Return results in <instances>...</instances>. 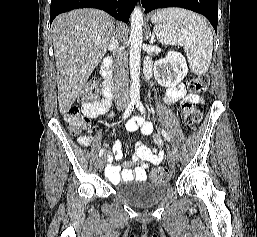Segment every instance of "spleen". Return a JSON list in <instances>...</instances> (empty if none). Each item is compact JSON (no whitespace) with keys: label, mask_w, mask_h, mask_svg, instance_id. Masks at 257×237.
<instances>
[{"label":"spleen","mask_w":257,"mask_h":237,"mask_svg":"<svg viewBox=\"0 0 257 237\" xmlns=\"http://www.w3.org/2000/svg\"><path fill=\"white\" fill-rule=\"evenodd\" d=\"M151 21L160 43L182 46L192 72L206 73L212 58L213 35L202 17L185 9L168 8L157 11Z\"/></svg>","instance_id":"obj_1"}]
</instances>
